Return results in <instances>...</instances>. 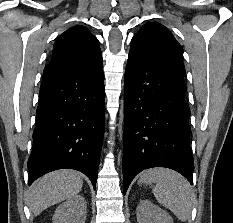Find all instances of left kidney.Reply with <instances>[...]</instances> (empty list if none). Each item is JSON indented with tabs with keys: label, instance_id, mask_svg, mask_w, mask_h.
Segmentation results:
<instances>
[{
	"label": "left kidney",
	"instance_id": "1",
	"mask_svg": "<svg viewBox=\"0 0 233 223\" xmlns=\"http://www.w3.org/2000/svg\"><path fill=\"white\" fill-rule=\"evenodd\" d=\"M138 223H173V219L165 209L152 203L150 199H140L136 207Z\"/></svg>",
	"mask_w": 233,
	"mask_h": 223
}]
</instances>
